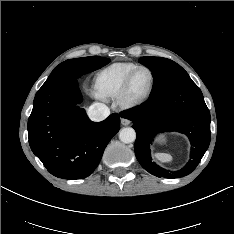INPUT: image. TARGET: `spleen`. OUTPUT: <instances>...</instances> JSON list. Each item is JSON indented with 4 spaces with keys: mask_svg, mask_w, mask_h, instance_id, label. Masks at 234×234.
Here are the masks:
<instances>
[{
    "mask_svg": "<svg viewBox=\"0 0 234 234\" xmlns=\"http://www.w3.org/2000/svg\"><path fill=\"white\" fill-rule=\"evenodd\" d=\"M153 157L161 163H167L173 160L172 156L167 153H155L153 154Z\"/></svg>",
    "mask_w": 234,
    "mask_h": 234,
    "instance_id": "obj_1",
    "label": "spleen"
}]
</instances>
